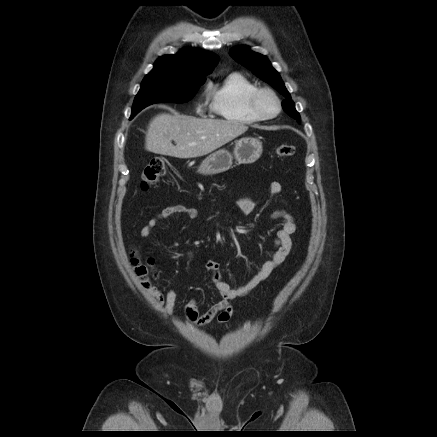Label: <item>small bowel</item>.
Returning a JSON list of instances; mask_svg holds the SVG:
<instances>
[{
	"instance_id": "small-bowel-1",
	"label": "small bowel",
	"mask_w": 437,
	"mask_h": 437,
	"mask_svg": "<svg viewBox=\"0 0 437 437\" xmlns=\"http://www.w3.org/2000/svg\"><path fill=\"white\" fill-rule=\"evenodd\" d=\"M281 190L282 187L279 182H271L267 187V192L271 196L280 194ZM235 206L242 214L250 215L255 210L256 202L250 197L244 196L235 202ZM175 214L184 215L191 220L196 219L198 216L196 209L192 207L182 204L167 206L154 215L141 229V238L146 239L149 237L161 221ZM272 218L281 221V227L276 232L275 252L270 259L263 263L260 270L248 282L233 288L222 280L220 264L218 262L212 260L206 262V269L210 273L211 283L218 291L220 299L202 313L199 311L195 301L187 302L184 306V313L191 323L203 326L215 319L218 323L229 321L233 314L232 301L252 292L285 261L292 248L291 235L296 231V224L291 214L282 209L275 211ZM150 293L159 304L164 306L167 314H173L177 301V294L174 290L164 293L156 287H152Z\"/></svg>"
}]
</instances>
